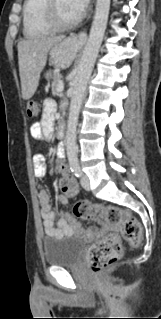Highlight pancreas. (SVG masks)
Here are the masks:
<instances>
[{
  "instance_id": "obj_1",
  "label": "pancreas",
  "mask_w": 161,
  "mask_h": 319,
  "mask_svg": "<svg viewBox=\"0 0 161 319\" xmlns=\"http://www.w3.org/2000/svg\"><path fill=\"white\" fill-rule=\"evenodd\" d=\"M61 81V75L60 74H54L53 76V82H52V94L58 95V85Z\"/></svg>"
}]
</instances>
